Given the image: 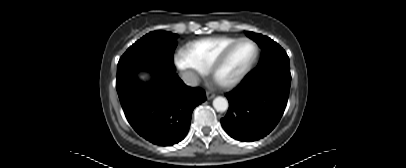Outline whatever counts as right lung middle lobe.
<instances>
[{
    "label": "right lung middle lobe",
    "instance_id": "1",
    "mask_svg": "<svg viewBox=\"0 0 406 168\" xmlns=\"http://www.w3.org/2000/svg\"><path fill=\"white\" fill-rule=\"evenodd\" d=\"M176 34L166 31H153L135 42L120 58L117 65V81L121 82L139 69L153 73L175 70L172 54L176 47Z\"/></svg>",
    "mask_w": 406,
    "mask_h": 168
}]
</instances>
